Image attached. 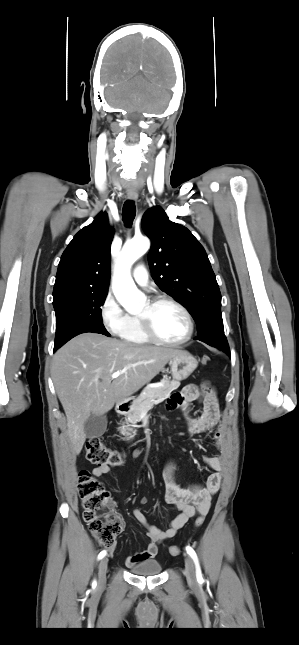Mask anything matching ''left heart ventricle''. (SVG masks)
I'll return each instance as SVG.
<instances>
[{
    "instance_id": "obj_1",
    "label": "left heart ventricle",
    "mask_w": 299,
    "mask_h": 645,
    "mask_svg": "<svg viewBox=\"0 0 299 645\" xmlns=\"http://www.w3.org/2000/svg\"><path fill=\"white\" fill-rule=\"evenodd\" d=\"M148 308L145 302L140 313H144ZM152 325L157 333L166 340H178L187 332V321L183 313L171 304H160L151 311Z\"/></svg>"
}]
</instances>
